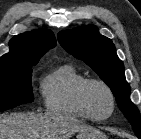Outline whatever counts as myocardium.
I'll use <instances>...</instances> for the list:
<instances>
[{"label":"myocardium","mask_w":141,"mask_h":139,"mask_svg":"<svg viewBox=\"0 0 141 139\" xmlns=\"http://www.w3.org/2000/svg\"><path fill=\"white\" fill-rule=\"evenodd\" d=\"M91 85L101 86L102 88L106 90V92L109 95L110 102H111V109H110V112L104 117H98L94 115L89 108V105L87 102V91ZM77 99H78L80 107L82 108L84 113L87 115V117L94 121H105L109 119L114 114V111L116 108V99H115V95L112 88L105 81L98 78H86L78 87Z\"/></svg>","instance_id":"obj_1"}]
</instances>
